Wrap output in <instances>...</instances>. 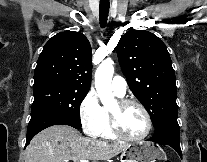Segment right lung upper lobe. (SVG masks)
I'll use <instances>...</instances> for the list:
<instances>
[{
  "label": "right lung upper lobe",
  "mask_w": 207,
  "mask_h": 162,
  "mask_svg": "<svg viewBox=\"0 0 207 162\" xmlns=\"http://www.w3.org/2000/svg\"><path fill=\"white\" fill-rule=\"evenodd\" d=\"M91 69L87 38L80 32H60L45 44L39 56L33 87L54 85L88 92Z\"/></svg>",
  "instance_id": "cb5924a9"
}]
</instances>
